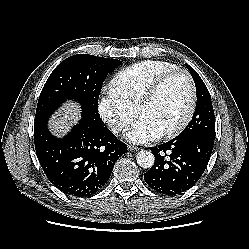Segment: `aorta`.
<instances>
[{
	"mask_svg": "<svg viewBox=\"0 0 249 249\" xmlns=\"http://www.w3.org/2000/svg\"><path fill=\"white\" fill-rule=\"evenodd\" d=\"M136 161L140 167L150 169L154 165L155 157L150 150H141L136 155Z\"/></svg>",
	"mask_w": 249,
	"mask_h": 249,
	"instance_id": "762f6f07",
	"label": "aorta"
}]
</instances>
